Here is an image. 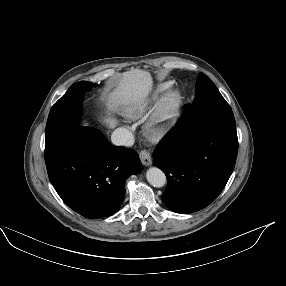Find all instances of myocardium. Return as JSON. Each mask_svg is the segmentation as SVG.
I'll return each mask as SVG.
<instances>
[{
	"instance_id": "obj_1",
	"label": "myocardium",
	"mask_w": 286,
	"mask_h": 286,
	"mask_svg": "<svg viewBox=\"0 0 286 286\" xmlns=\"http://www.w3.org/2000/svg\"><path fill=\"white\" fill-rule=\"evenodd\" d=\"M182 106V95L178 90L165 94L154 106L145 122V130L151 136L160 135L173 121Z\"/></svg>"
}]
</instances>
